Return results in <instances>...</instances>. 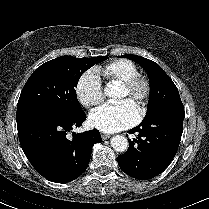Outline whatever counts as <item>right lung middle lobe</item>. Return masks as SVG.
I'll list each match as a JSON object with an SVG mask.
<instances>
[{
	"label": "right lung middle lobe",
	"mask_w": 209,
	"mask_h": 209,
	"mask_svg": "<svg viewBox=\"0 0 209 209\" xmlns=\"http://www.w3.org/2000/svg\"><path fill=\"white\" fill-rule=\"evenodd\" d=\"M108 59L107 56L75 58L61 56L38 67L27 80L17 105V126L33 117L48 113L82 110L75 87L81 75Z\"/></svg>",
	"instance_id": "1"
}]
</instances>
